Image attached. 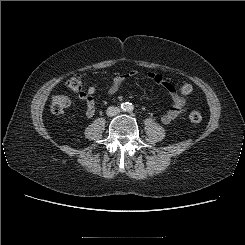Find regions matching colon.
<instances>
[{"label":"colon","instance_id":"obj_1","mask_svg":"<svg viewBox=\"0 0 245 245\" xmlns=\"http://www.w3.org/2000/svg\"><path fill=\"white\" fill-rule=\"evenodd\" d=\"M66 87L73 92H82L83 90V80L79 74L72 75L66 81ZM193 91V87L189 83H183L180 87V92L183 95H189ZM71 104L69 97L65 95H54L51 100L50 109L55 114H60L67 110ZM189 120L192 123L198 124L202 121V115L199 111L193 110L189 113Z\"/></svg>","mask_w":245,"mask_h":245}]
</instances>
